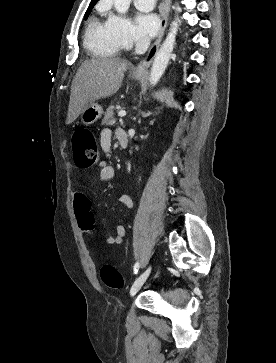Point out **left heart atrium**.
Segmentation results:
<instances>
[{
    "instance_id": "1",
    "label": "left heart atrium",
    "mask_w": 276,
    "mask_h": 363,
    "mask_svg": "<svg viewBox=\"0 0 276 363\" xmlns=\"http://www.w3.org/2000/svg\"><path fill=\"white\" fill-rule=\"evenodd\" d=\"M136 25L142 37L151 38L154 37L160 29V19L154 13H138Z\"/></svg>"
}]
</instances>
